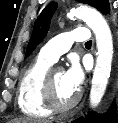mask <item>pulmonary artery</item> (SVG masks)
I'll use <instances>...</instances> for the list:
<instances>
[{"mask_svg": "<svg viewBox=\"0 0 118 123\" xmlns=\"http://www.w3.org/2000/svg\"><path fill=\"white\" fill-rule=\"evenodd\" d=\"M89 37V30L84 27H77L71 31L61 33L40 49V56L54 63L70 49L74 42L87 41Z\"/></svg>", "mask_w": 118, "mask_h": 123, "instance_id": "e3ab8cb5", "label": "pulmonary artery"}]
</instances>
